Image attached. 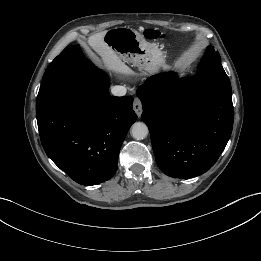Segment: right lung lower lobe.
Returning a JSON list of instances; mask_svg holds the SVG:
<instances>
[{
	"instance_id": "right-lung-lower-lobe-1",
	"label": "right lung lower lobe",
	"mask_w": 261,
	"mask_h": 261,
	"mask_svg": "<svg viewBox=\"0 0 261 261\" xmlns=\"http://www.w3.org/2000/svg\"><path fill=\"white\" fill-rule=\"evenodd\" d=\"M100 69L75 77L36 105L42 146L48 157L82 185L109 180L121 145L137 115L133 98L109 97Z\"/></svg>"
}]
</instances>
